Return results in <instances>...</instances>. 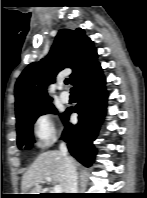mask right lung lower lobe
Here are the masks:
<instances>
[{
	"mask_svg": "<svg viewBox=\"0 0 147 198\" xmlns=\"http://www.w3.org/2000/svg\"><path fill=\"white\" fill-rule=\"evenodd\" d=\"M75 90L79 102L75 109L66 110L62 138L68 142L70 153L84 166L90 167L96 154L93 141L98 135L99 124L106 113L108 97L100 64L75 85ZM73 111L79 114V122L76 125L67 123Z\"/></svg>",
	"mask_w": 147,
	"mask_h": 198,
	"instance_id": "1",
	"label": "right lung lower lobe"
}]
</instances>
